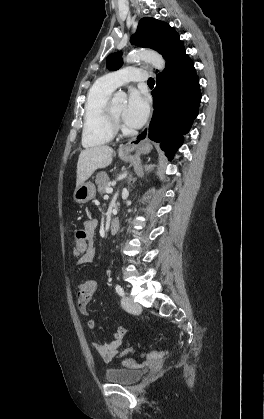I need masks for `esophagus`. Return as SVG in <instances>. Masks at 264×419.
Returning a JSON list of instances; mask_svg holds the SVG:
<instances>
[{
    "mask_svg": "<svg viewBox=\"0 0 264 419\" xmlns=\"http://www.w3.org/2000/svg\"><path fill=\"white\" fill-rule=\"evenodd\" d=\"M148 138V125L133 139L128 141L126 144L121 145L118 149L120 154H129L134 151L141 143L146 141Z\"/></svg>",
    "mask_w": 264,
    "mask_h": 419,
    "instance_id": "obj_1",
    "label": "esophagus"
}]
</instances>
